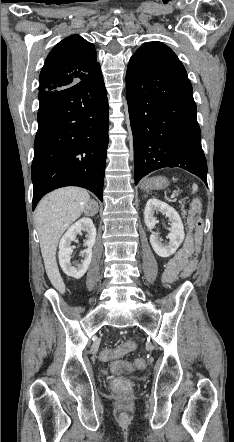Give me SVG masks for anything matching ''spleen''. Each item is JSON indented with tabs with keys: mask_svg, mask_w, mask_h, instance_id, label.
Returning a JSON list of instances; mask_svg holds the SVG:
<instances>
[{
	"mask_svg": "<svg viewBox=\"0 0 234 442\" xmlns=\"http://www.w3.org/2000/svg\"><path fill=\"white\" fill-rule=\"evenodd\" d=\"M196 191V189L195 188H193V192H195Z\"/></svg>",
	"mask_w": 234,
	"mask_h": 442,
	"instance_id": "3e777b00",
	"label": "spleen"
}]
</instances>
